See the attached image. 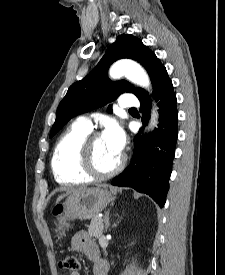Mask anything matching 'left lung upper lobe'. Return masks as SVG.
Here are the masks:
<instances>
[{"label":"left lung upper lobe","instance_id":"1","mask_svg":"<svg viewBox=\"0 0 225 275\" xmlns=\"http://www.w3.org/2000/svg\"><path fill=\"white\" fill-rule=\"evenodd\" d=\"M122 58L133 59L144 66L152 83L165 69L156 55L140 39L129 34L118 36L93 71L70 86L58 106L50 137L54 136L74 116L105 105L116 99L120 93L131 92L137 97L145 93L142 88H135L126 81L112 82L108 78L110 64ZM107 111L112 113L111 105L108 106Z\"/></svg>","mask_w":225,"mask_h":275}]
</instances>
